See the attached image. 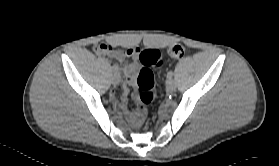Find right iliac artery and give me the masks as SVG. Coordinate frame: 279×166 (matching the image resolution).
I'll return each instance as SVG.
<instances>
[{
    "mask_svg": "<svg viewBox=\"0 0 279 166\" xmlns=\"http://www.w3.org/2000/svg\"><path fill=\"white\" fill-rule=\"evenodd\" d=\"M113 71L115 72V73H117L118 72V70H119V68H118V66L117 65H113Z\"/></svg>",
    "mask_w": 279,
    "mask_h": 166,
    "instance_id": "obj_1",
    "label": "right iliac artery"
}]
</instances>
